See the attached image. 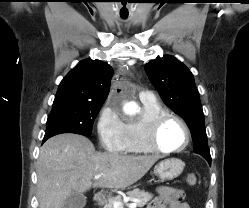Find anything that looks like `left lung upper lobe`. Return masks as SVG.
I'll use <instances>...</instances> for the list:
<instances>
[{"mask_svg": "<svg viewBox=\"0 0 249 208\" xmlns=\"http://www.w3.org/2000/svg\"><path fill=\"white\" fill-rule=\"evenodd\" d=\"M145 70L164 103L177 112L190 128L194 152L211 161L204 113L192 73L170 55L150 61Z\"/></svg>", "mask_w": 249, "mask_h": 208, "instance_id": "5c2ea615", "label": "left lung upper lobe"}]
</instances>
